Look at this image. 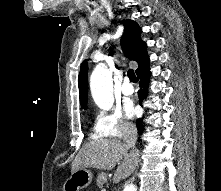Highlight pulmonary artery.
I'll return each mask as SVG.
<instances>
[{
    "label": "pulmonary artery",
    "mask_w": 221,
    "mask_h": 191,
    "mask_svg": "<svg viewBox=\"0 0 221 191\" xmlns=\"http://www.w3.org/2000/svg\"><path fill=\"white\" fill-rule=\"evenodd\" d=\"M121 92L124 95H132L134 92V87L132 86V84L129 82L128 78H125L122 86H121Z\"/></svg>",
    "instance_id": "1"
}]
</instances>
